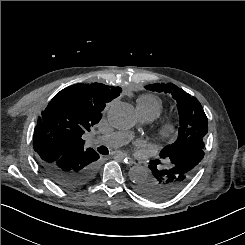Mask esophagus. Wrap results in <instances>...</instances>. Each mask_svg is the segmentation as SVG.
<instances>
[{"label": "esophagus", "mask_w": 245, "mask_h": 245, "mask_svg": "<svg viewBox=\"0 0 245 245\" xmlns=\"http://www.w3.org/2000/svg\"><path fill=\"white\" fill-rule=\"evenodd\" d=\"M115 157L122 160L126 165H132L134 163V161L125 154H117Z\"/></svg>", "instance_id": "1"}]
</instances>
